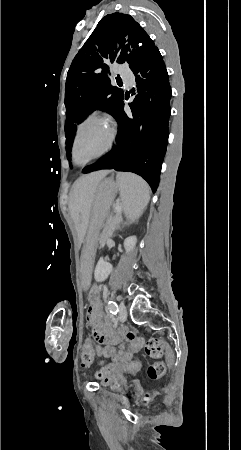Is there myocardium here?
Segmentation results:
<instances>
[{"instance_id": "obj_1", "label": "myocardium", "mask_w": 241, "mask_h": 450, "mask_svg": "<svg viewBox=\"0 0 241 450\" xmlns=\"http://www.w3.org/2000/svg\"><path fill=\"white\" fill-rule=\"evenodd\" d=\"M109 125L110 124L107 121L101 123L102 127H106L107 128V127H109ZM75 127H80V122H75ZM114 133L115 132L112 129L111 130L109 129V130L105 131L106 138L104 140H101V145H104L103 152H102V149L99 152H96L98 154L99 158L100 157H105L106 153H108V149H112V144H109V143L112 142V140H113L112 137H110V135L112 136V135H114ZM85 134H86V131L85 130H81V129L73 132V134H72L73 137H75V138L77 137V139L75 141L74 148L70 149L71 157H69V162H76V157L80 156V149H83V147H86V146H83V145H85L87 142L84 140V137H80L81 135H85ZM98 143H100V142H98ZM80 160H82V159H80ZM84 161L85 162H91V160H88L86 158H84Z\"/></svg>"}]
</instances>
